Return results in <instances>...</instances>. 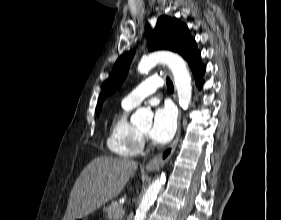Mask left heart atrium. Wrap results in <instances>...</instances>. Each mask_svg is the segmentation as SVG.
Instances as JSON below:
<instances>
[{"label":"left heart atrium","mask_w":281,"mask_h":220,"mask_svg":"<svg viewBox=\"0 0 281 220\" xmlns=\"http://www.w3.org/2000/svg\"><path fill=\"white\" fill-rule=\"evenodd\" d=\"M177 128V117L170 106L159 107L154 114L149 137L158 144L169 142Z\"/></svg>","instance_id":"39dd6f15"}]
</instances>
